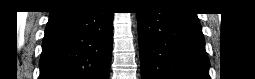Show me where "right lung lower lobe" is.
Returning <instances> with one entry per match:
<instances>
[{
	"mask_svg": "<svg viewBox=\"0 0 255 79\" xmlns=\"http://www.w3.org/2000/svg\"><path fill=\"white\" fill-rule=\"evenodd\" d=\"M112 42L113 12L57 8L45 29L39 79H108Z\"/></svg>",
	"mask_w": 255,
	"mask_h": 79,
	"instance_id": "right-lung-lower-lobe-1",
	"label": "right lung lower lobe"
}]
</instances>
